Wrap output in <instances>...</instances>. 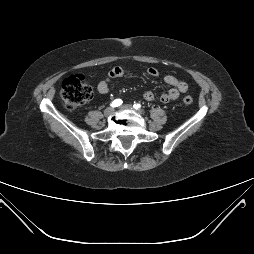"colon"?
<instances>
[{
    "instance_id": "obj_1",
    "label": "colon",
    "mask_w": 254,
    "mask_h": 254,
    "mask_svg": "<svg viewBox=\"0 0 254 254\" xmlns=\"http://www.w3.org/2000/svg\"><path fill=\"white\" fill-rule=\"evenodd\" d=\"M93 96V89L83 75L76 74L66 78L62 83L61 98L69 110H75L87 103ZM187 105L193 102L190 95L183 97Z\"/></svg>"
}]
</instances>
